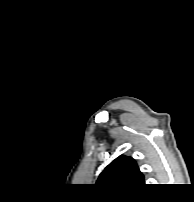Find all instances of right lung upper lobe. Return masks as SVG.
<instances>
[{
	"mask_svg": "<svg viewBox=\"0 0 194 202\" xmlns=\"http://www.w3.org/2000/svg\"><path fill=\"white\" fill-rule=\"evenodd\" d=\"M96 184L110 190H129L145 183L134 159L121 155L104 169Z\"/></svg>",
	"mask_w": 194,
	"mask_h": 202,
	"instance_id": "obj_1",
	"label": "right lung upper lobe"
}]
</instances>
